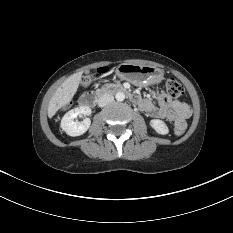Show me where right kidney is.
<instances>
[{
  "label": "right kidney",
  "mask_w": 233,
  "mask_h": 233,
  "mask_svg": "<svg viewBox=\"0 0 233 233\" xmlns=\"http://www.w3.org/2000/svg\"><path fill=\"white\" fill-rule=\"evenodd\" d=\"M91 109L88 106H81L68 111L61 120V128L69 136H80L84 134L91 125V120L85 118L82 122L74 121L78 115L89 116Z\"/></svg>",
  "instance_id": "right-kidney-1"
}]
</instances>
